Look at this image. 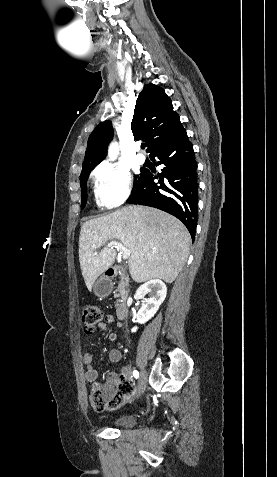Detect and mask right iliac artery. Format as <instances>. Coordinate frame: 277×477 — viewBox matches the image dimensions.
Here are the masks:
<instances>
[{
    "instance_id": "right-iliac-artery-1",
    "label": "right iliac artery",
    "mask_w": 277,
    "mask_h": 477,
    "mask_svg": "<svg viewBox=\"0 0 277 477\" xmlns=\"http://www.w3.org/2000/svg\"><path fill=\"white\" fill-rule=\"evenodd\" d=\"M133 376L137 379L139 377V372L137 370H135L133 372Z\"/></svg>"
}]
</instances>
